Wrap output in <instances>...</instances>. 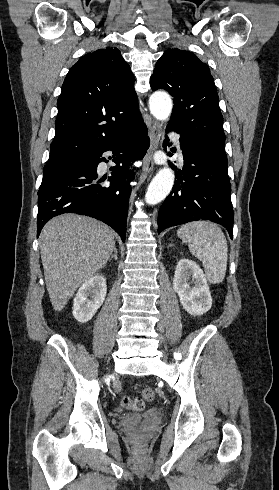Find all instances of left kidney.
I'll return each instance as SVG.
<instances>
[{
    "instance_id": "1",
    "label": "left kidney",
    "mask_w": 279,
    "mask_h": 490,
    "mask_svg": "<svg viewBox=\"0 0 279 490\" xmlns=\"http://www.w3.org/2000/svg\"><path fill=\"white\" fill-rule=\"evenodd\" d=\"M190 284H194L193 288ZM173 290L178 294L181 306L191 316H203L209 312L212 306L211 292L206 276L196 262L186 258L179 260L175 268Z\"/></svg>"
}]
</instances>
